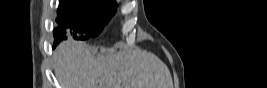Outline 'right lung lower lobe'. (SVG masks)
Masks as SVG:
<instances>
[{"label":"right lung lower lobe","instance_id":"98d812e1","mask_svg":"<svg viewBox=\"0 0 267 88\" xmlns=\"http://www.w3.org/2000/svg\"><path fill=\"white\" fill-rule=\"evenodd\" d=\"M57 44H58V43H55V44H54V47H55Z\"/></svg>","mask_w":267,"mask_h":88}]
</instances>
